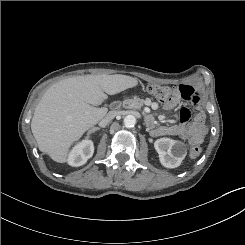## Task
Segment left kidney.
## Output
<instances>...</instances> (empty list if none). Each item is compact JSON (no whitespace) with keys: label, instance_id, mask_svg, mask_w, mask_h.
I'll return each instance as SVG.
<instances>
[{"label":"left kidney","instance_id":"left-kidney-1","mask_svg":"<svg viewBox=\"0 0 245 245\" xmlns=\"http://www.w3.org/2000/svg\"><path fill=\"white\" fill-rule=\"evenodd\" d=\"M160 163L166 168H177L186 156L184 145L170 138H160L154 143Z\"/></svg>","mask_w":245,"mask_h":245}]
</instances>
